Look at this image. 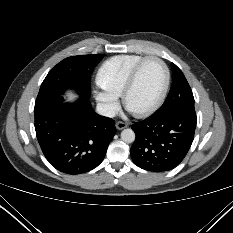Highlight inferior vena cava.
<instances>
[{
    "mask_svg": "<svg viewBox=\"0 0 233 233\" xmlns=\"http://www.w3.org/2000/svg\"><path fill=\"white\" fill-rule=\"evenodd\" d=\"M96 112L99 115L110 117V118L115 117L116 115V110L112 106L105 104V103H98L96 106Z\"/></svg>",
    "mask_w": 233,
    "mask_h": 233,
    "instance_id": "602c4592",
    "label": "inferior vena cava"
}]
</instances>
